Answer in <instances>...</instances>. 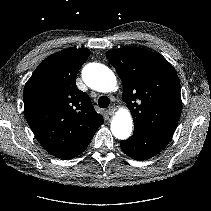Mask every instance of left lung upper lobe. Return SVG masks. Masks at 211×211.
Masks as SVG:
<instances>
[{
    "mask_svg": "<svg viewBox=\"0 0 211 211\" xmlns=\"http://www.w3.org/2000/svg\"><path fill=\"white\" fill-rule=\"evenodd\" d=\"M106 56L123 82L122 99L131 111L134 130L174 134L182 102L173 66L139 47L109 50Z\"/></svg>",
    "mask_w": 211,
    "mask_h": 211,
    "instance_id": "5c2ea615",
    "label": "left lung upper lobe"
}]
</instances>
